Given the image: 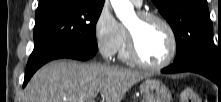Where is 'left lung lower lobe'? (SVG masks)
<instances>
[{"label": "left lung lower lobe", "mask_w": 221, "mask_h": 102, "mask_svg": "<svg viewBox=\"0 0 221 102\" xmlns=\"http://www.w3.org/2000/svg\"><path fill=\"white\" fill-rule=\"evenodd\" d=\"M195 72L199 73L216 84L221 85V71H218L210 63L196 58L174 62L171 66L162 69V73Z\"/></svg>", "instance_id": "left-lung-lower-lobe-1"}]
</instances>
